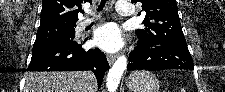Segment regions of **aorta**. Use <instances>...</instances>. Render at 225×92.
I'll return each mask as SVG.
<instances>
[{
	"instance_id": "obj_1",
	"label": "aorta",
	"mask_w": 225,
	"mask_h": 92,
	"mask_svg": "<svg viewBox=\"0 0 225 92\" xmlns=\"http://www.w3.org/2000/svg\"><path fill=\"white\" fill-rule=\"evenodd\" d=\"M127 67V58L122 55L113 64L106 78V87L108 92H116L123 72Z\"/></svg>"
}]
</instances>
